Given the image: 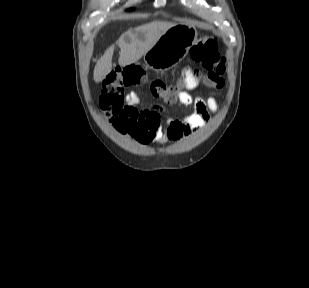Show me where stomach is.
<instances>
[{
    "mask_svg": "<svg viewBox=\"0 0 309 288\" xmlns=\"http://www.w3.org/2000/svg\"><path fill=\"white\" fill-rule=\"evenodd\" d=\"M197 37V29L193 25L186 22L175 24L144 54L145 64L155 71L169 70L187 55Z\"/></svg>",
    "mask_w": 309,
    "mask_h": 288,
    "instance_id": "1",
    "label": "stomach"
}]
</instances>
